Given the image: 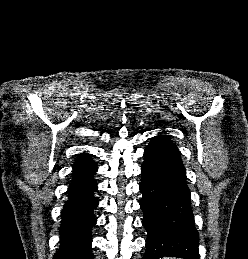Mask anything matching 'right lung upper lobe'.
Returning <instances> with one entry per match:
<instances>
[{
  "instance_id": "obj_1",
  "label": "right lung upper lobe",
  "mask_w": 248,
  "mask_h": 259,
  "mask_svg": "<svg viewBox=\"0 0 248 259\" xmlns=\"http://www.w3.org/2000/svg\"><path fill=\"white\" fill-rule=\"evenodd\" d=\"M86 155H89V154H87V153H83V154H81V157H82V156H86Z\"/></svg>"
}]
</instances>
